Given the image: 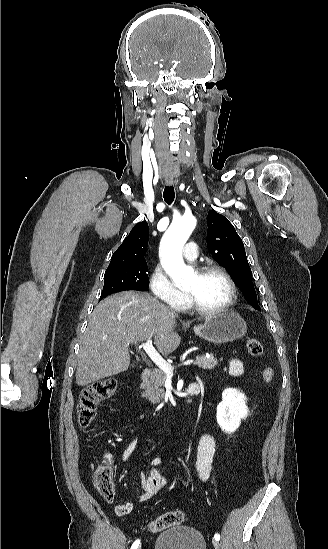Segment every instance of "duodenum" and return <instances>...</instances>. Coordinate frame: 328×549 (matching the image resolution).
<instances>
[{
  "instance_id": "1",
  "label": "duodenum",
  "mask_w": 328,
  "mask_h": 549,
  "mask_svg": "<svg viewBox=\"0 0 328 549\" xmlns=\"http://www.w3.org/2000/svg\"><path fill=\"white\" fill-rule=\"evenodd\" d=\"M151 369L149 368H145L142 373H141V377H140V385H141V388L144 387V385L147 383L148 379L150 378L151 376ZM201 388H202V383L201 382H193L191 383L188 388L186 389L185 393H184V398H189V397H193V396H196L200 393L201 391Z\"/></svg>"
}]
</instances>
